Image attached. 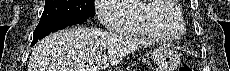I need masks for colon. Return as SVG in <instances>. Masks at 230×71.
I'll return each instance as SVG.
<instances>
[{
  "instance_id": "5ec220e1",
  "label": "colon",
  "mask_w": 230,
  "mask_h": 71,
  "mask_svg": "<svg viewBox=\"0 0 230 71\" xmlns=\"http://www.w3.org/2000/svg\"><path fill=\"white\" fill-rule=\"evenodd\" d=\"M192 67L187 64H182L179 66L178 71H192Z\"/></svg>"
}]
</instances>
